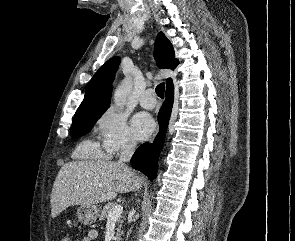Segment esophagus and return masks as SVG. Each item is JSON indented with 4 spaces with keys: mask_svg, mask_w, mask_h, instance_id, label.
Masks as SVG:
<instances>
[{
    "mask_svg": "<svg viewBox=\"0 0 295 241\" xmlns=\"http://www.w3.org/2000/svg\"><path fill=\"white\" fill-rule=\"evenodd\" d=\"M157 133H158V129L156 130V132H155V134H154V136H153V138H152V141H153V139L155 138V136L157 135Z\"/></svg>",
    "mask_w": 295,
    "mask_h": 241,
    "instance_id": "obj_1",
    "label": "esophagus"
}]
</instances>
